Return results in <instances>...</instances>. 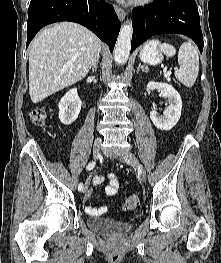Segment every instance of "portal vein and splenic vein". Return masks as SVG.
Here are the masks:
<instances>
[{
    "label": "portal vein and splenic vein",
    "instance_id": "18ae733b",
    "mask_svg": "<svg viewBox=\"0 0 221 263\" xmlns=\"http://www.w3.org/2000/svg\"><path fill=\"white\" fill-rule=\"evenodd\" d=\"M171 75V69L165 73V77H169Z\"/></svg>",
    "mask_w": 221,
    "mask_h": 263
}]
</instances>
